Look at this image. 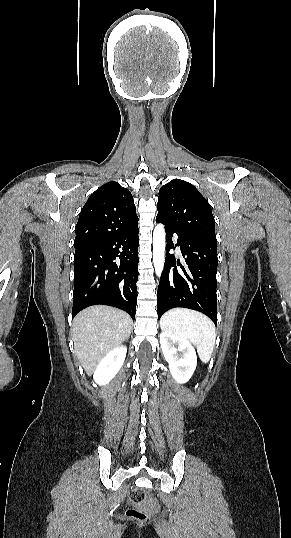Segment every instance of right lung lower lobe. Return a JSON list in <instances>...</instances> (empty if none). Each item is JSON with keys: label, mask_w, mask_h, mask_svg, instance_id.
Listing matches in <instances>:
<instances>
[{"label": "right lung lower lobe", "mask_w": 291, "mask_h": 538, "mask_svg": "<svg viewBox=\"0 0 291 538\" xmlns=\"http://www.w3.org/2000/svg\"><path fill=\"white\" fill-rule=\"evenodd\" d=\"M138 233L136 226L75 250L72 317L88 306L104 304L122 309L135 318ZM116 257L120 263L115 262Z\"/></svg>", "instance_id": "98d812e1"}]
</instances>
